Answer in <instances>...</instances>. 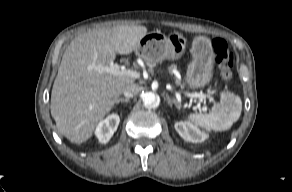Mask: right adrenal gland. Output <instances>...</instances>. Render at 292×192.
Returning a JSON list of instances; mask_svg holds the SVG:
<instances>
[{"label":"right adrenal gland","mask_w":292,"mask_h":192,"mask_svg":"<svg viewBox=\"0 0 292 192\" xmlns=\"http://www.w3.org/2000/svg\"><path fill=\"white\" fill-rule=\"evenodd\" d=\"M120 102L128 103L129 102V99L128 98H126V99H124V98H118V99H116L115 104L118 105Z\"/></svg>","instance_id":"right-adrenal-gland-1"}]
</instances>
